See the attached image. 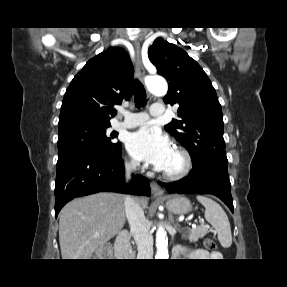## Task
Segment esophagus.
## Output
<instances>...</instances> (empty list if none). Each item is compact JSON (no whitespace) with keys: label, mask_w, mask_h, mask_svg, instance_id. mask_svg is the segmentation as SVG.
<instances>
[{"label":"esophagus","mask_w":287,"mask_h":287,"mask_svg":"<svg viewBox=\"0 0 287 287\" xmlns=\"http://www.w3.org/2000/svg\"><path fill=\"white\" fill-rule=\"evenodd\" d=\"M134 48H135V60H136V74L137 77L139 78V80H143L144 76H145V69L142 63V59H141V48H140V44L138 42L134 43ZM150 187H151V191L152 194L155 196H161L163 194V191L161 190L160 186L155 182L152 181L150 183Z\"/></svg>","instance_id":"esophagus-1"}]
</instances>
